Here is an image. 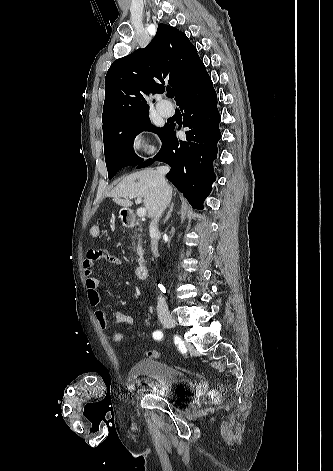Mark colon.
<instances>
[{"label": "colon", "mask_w": 333, "mask_h": 471, "mask_svg": "<svg viewBox=\"0 0 333 471\" xmlns=\"http://www.w3.org/2000/svg\"><path fill=\"white\" fill-rule=\"evenodd\" d=\"M90 234H91L92 237H98L99 234H100L99 226L96 225V224L92 225L91 228H90ZM112 340L116 345H122L125 341V335H124L123 332L116 331V332H114V334L112 336ZM147 356L150 357V358H157L159 356V352L156 351V350H150V351H148ZM213 399L215 401H218L219 397L217 395H214Z\"/></svg>", "instance_id": "obj_1"}]
</instances>
